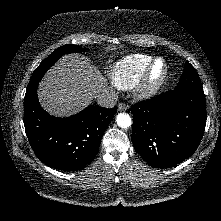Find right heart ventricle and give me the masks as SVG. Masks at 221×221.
<instances>
[{
  "label": "right heart ventricle",
  "instance_id": "e07e8e85",
  "mask_svg": "<svg viewBox=\"0 0 221 221\" xmlns=\"http://www.w3.org/2000/svg\"><path fill=\"white\" fill-rule=\"evenodd\" d=\"M152 59L146 54H132L122 58L110 70L112 83L120 89L134 87Z\"/></svg>",
  "mask_w": 221,
  "mask_h": 221
}]
</instances>
